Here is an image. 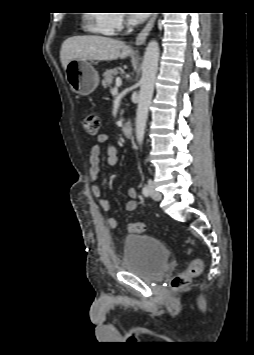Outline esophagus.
I'll return each instance as SVG.
<instances>
[{
	"label": "esophagus",
	"mask_w": 254,
	"mask_h": 355,
	"mask_svg": "<svg viewBox=\"0 0 254 355\" xmlns=\"http://www.w3.org/2000/svg\"><path fill=\"white\" fill-rule=\"evenodd\" d=\"M157 16H158L157 13H153L151 18L149 19L148 23L145 25V27L142 29V31L138 34V36L136 37V40H135V44L137 46L142 45L146 41L147 36L149 35L150 31L154 27Z\"/></svg>",
	"instance_id": "1"
}]
</instances>
